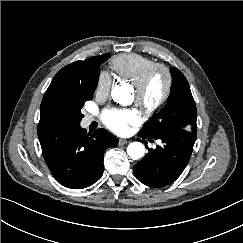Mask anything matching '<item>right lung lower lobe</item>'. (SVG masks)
I'll return each instance as SVG.
<instances>
[{"instance_id":"1","label":"right lung lower lobe","mask_w":243,"mask_h":243,"mask_svg":"<svg viewBox=\"0 0 243 243\" xmlns=\"http://www.w3.org/2000/svg\"><path fill=\"white\" fill-rule=\"evenodd\" d=\"M43 157L56 180L65 187L82 189L103 174V155L118 139L104 129L87 133L78 125L38 127Z\"/></svg>"}]
</instances>
